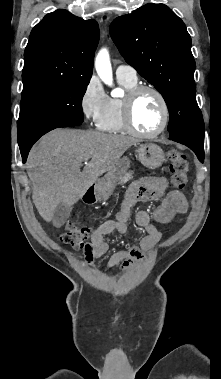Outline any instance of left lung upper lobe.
<instances>
[{
  "label": "left lung upper lobe",
  "instance_id": "1",
  "mask_svg": "<svg viewBox=\"0 0 221 379\" xmlns=\"http://www.w3.org/2000/svg\"><path fill=\"white\" fill-rule=\"evenodd\" d=\"M110 35L125 61L162 94L169 109V136L204 144L195 61L184 22L164 4H146L116 18Z\"/></svg>",
  "mask_w": 221,
  "mask_h": 379
}]
</instances>
